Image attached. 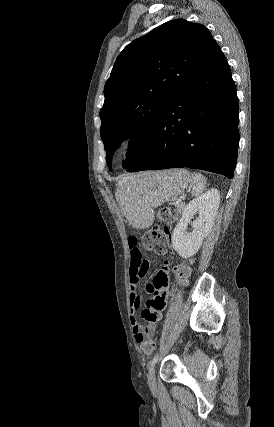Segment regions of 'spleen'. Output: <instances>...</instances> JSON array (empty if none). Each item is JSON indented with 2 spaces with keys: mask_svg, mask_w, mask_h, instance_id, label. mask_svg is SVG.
Masks as SVG:
<instances>
[{
  "mask_svg": "<svg viewBox=\"0 0 274 427\" xmlns=\"http://www.w3.org/2000/svg\"><path fill=\"white\" fill-rule=\"evenodd\" d=\"M206 178L202 174H192L191 176V194L194 198H199L204 192Z\"/></svg>",
  "mask_w": 274,
  "mask_h": 427,
  "instance_id": "obj_1",
  "label": "spleen"
}]
</instances>
